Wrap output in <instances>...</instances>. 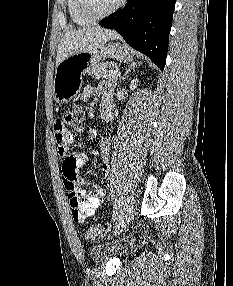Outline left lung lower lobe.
Returning a JSON list of instances; mask_svg holds the SVG:
<instances>
[{"label":"left lung lower lobe","mask_w":233,"mask_h":286,"mask_svg":"<svg viewBox=\"0 0 233 286\" xmlns=\"http://www.w3.org/2000/svg\"><path fill=\"white\" fill-rule=\"evenodd\" d=\"M175 0H128L122 10L99 22L115 29L134 49L164 69Z\"/></svg>","instance_id":"obj_1"}]
</instances>
